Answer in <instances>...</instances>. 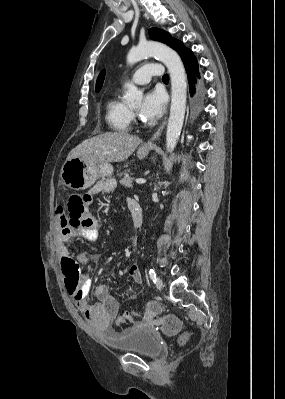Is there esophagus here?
Returning <instances> with one entry per match:
<instances>
[{
	"label": "esophagus",
	"mask_w": 285,
	"mask_h": 399,
	"mask_svg": "<svg viewBox=\"0 0 285 399\" xmlns=\"http://www.w3.org/2000/svg\"><path fill=\"white\" fill-rule=\"evenodd\" d=\"M166 124V119L163 121L161 126L157 129V131L153 134V136L144 144V148H151L154 145V141L161 135L164 126Z\"/></svg>",
	"instance_id": "34e87169"
}]
</instances>
